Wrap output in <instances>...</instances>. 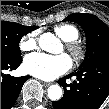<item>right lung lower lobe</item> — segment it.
<instances>
[{
	"instance_id": "98d812e1",
	"label": "right lung lower lobe",
	"mask_w": 109,
	"mask_h": 109,
	"mask_svg": "<svg viewBox=\"0 0 109 109\" xmlns=\"http://www.w3.org/2000/svg\"><path fill=\"white\" fill-rule=\"evenodd\" d=\"M22 61V58L5 60L1 59V109H9L18 98L23 84L29 78L12 77L4 74L6 70L16 69Z\"/></svg>"
}]
</instances>
